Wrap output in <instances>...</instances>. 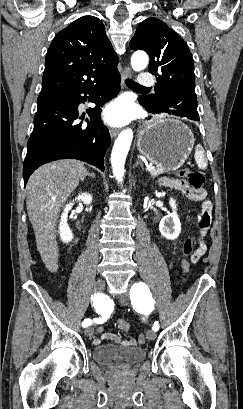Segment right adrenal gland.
<instances>
[{"instance_id":"obj_1","label":"right adrenal gland","mask_w":243,"mask_h":409,"mask_svg":"<svg viewBox=\"0 0 243 409\" xmlns=\"http://www.w3.org/2000/svg\"><path fill=\"white\" fill-rule=\"evenodd\" d=\"M87 175L90 176V177H92V178L95 177V175H94L93 173H87Z\"/></svg>"}]
</instances>
